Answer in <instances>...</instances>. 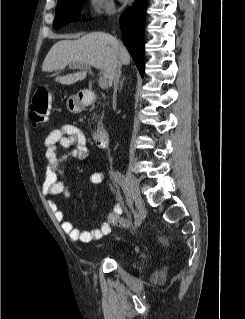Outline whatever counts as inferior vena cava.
I'll use <instances>...</instances> for the list:
<instances>
[{
  "label": "inferior vena cava",
  "mask_w": 245,
  "mask_h": 319,
  "mask_svg": "<svg viewBox=\"0 0 245 319\" xmlns=\"http://www.w3.org/2000/svg\"><path fill=\"white\" fill-rule=\"evenodd\" d=\"M117 45H119L118 41H117ZM121 66H122V64L119 62L116 65V68H115L114 73H113L114 99L116 98L118 83H119L120 76H121Z\"/></svg>",
  "instance_id": "602c4592"
}]
</instances>
